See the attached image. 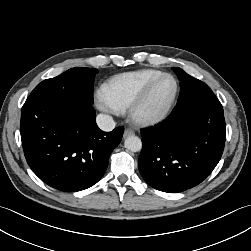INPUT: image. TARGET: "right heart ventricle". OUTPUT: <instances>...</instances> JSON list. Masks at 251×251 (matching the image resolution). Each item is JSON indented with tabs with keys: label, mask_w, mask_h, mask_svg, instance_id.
<instances>
[{
	"label": "right heart ventricle",
	"mask_w": 251,
	"mask_h": 251,
	"mask_svg": "<svg viewBox=\"0 0 251 251\" xmlns=\"http://www.w3.org/2000/svg\"><path fill=\"white\" fill-rule=\"evenodd\" d=\"M163 72L155 69H143L117 74L110 78L103 90L110 101L120 110L130 107L144 87Z\"/></svg>",
	"instance_id": "1"
}]
</instances>
